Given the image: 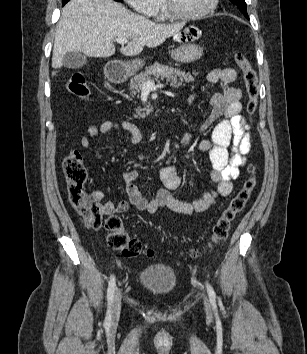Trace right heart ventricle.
Returning <instances> with one entry per match:
<instances>
[{
	"label": "right heart ventricle",
	"mask_w": 307,
	"mask_h": 354,
	"mask_svg": "<svg viewBox=\"0 0 307 354\" xmlns=\"http://www.w3.org/2000/svg\"><path fill=\"white\" fill-rule=\"evenodd\" d=\"M153 16L158 20V21H164L168 18V15L163 7V2L162 0H159L158 7L153 14Z\"/></svg>",
	"instance_id": "right-heart-ventricle-1"
}]
</instances>
